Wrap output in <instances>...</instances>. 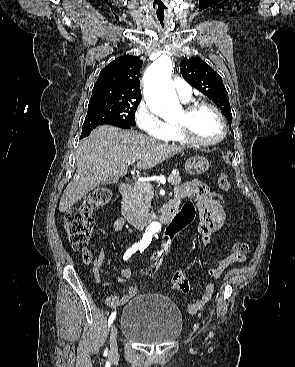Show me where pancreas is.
<instances>
[{
  "mask_svg": "<svg viewBox=\"0 0 295 367\" xmlns=\"http://www.w3.org/2000/svg\"><path fill=\"white\" fill-rule=\"evenodd\" d=\"M172 177L171 184L177 186L181 183L179 174L170 175ZM153 197L151 185L149 183H141L134 185L132 190L124 197V205L129 207L135 213H143L149 210L151 199Z\"/></svg>",
  "mask_w": 295,
  "mask_h": 367,
  "instance_id": "pancreas-1",
  "label": "pancreas"
}]
</instances>
